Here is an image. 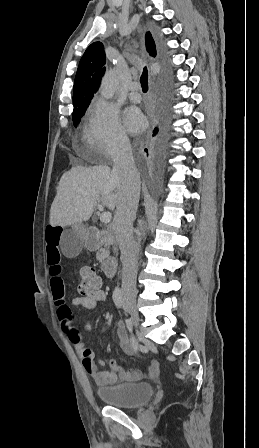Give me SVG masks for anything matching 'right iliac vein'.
Masks as SVG:
<instances>
[{
    "label": "right iliac vein",
    "mask_w": 259,
    "mask_h": 448,
    "mask_svg": "<svg viewBox=\"0 0 259 448\" xmlns=\"http://www.w3.org/2000/svg\"><path fill=\"white\" fill-rule=\"evenodd\" d=\"M125 306L128 312L131 314V320L135 327L139 325V314L136 308V302L134 300H126Z\"/></svg>",
    "instance_id": "1"
}]
</instances>
